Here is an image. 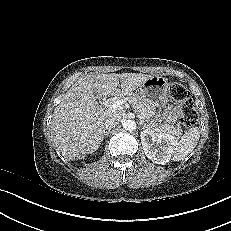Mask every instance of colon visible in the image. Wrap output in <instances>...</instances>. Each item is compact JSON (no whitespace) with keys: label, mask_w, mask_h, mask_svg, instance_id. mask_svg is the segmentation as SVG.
I'll use <instances>...</instances> for the list:
<instances>
[{"label":"colon","mask_w":231,"mask_h":231,"mask_svg":"<svg viewBox=\"0 0 231 231\" xmlns=\"http://www.w3.org/2000/svg\"><path fill=\"white\" fill-rule=\"evenodd\" d=\"M169 94L179 104V120L181 124L185 127L193 126L198 119V114L188 89L180 83H171Z\"/></svg>","instance_id":"5ec220e1"}]
</instances>
